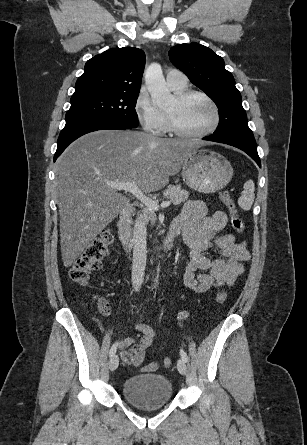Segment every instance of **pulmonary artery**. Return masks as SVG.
<instances>
[{"mask_svg": "<svg viewBox=\"0 0 307 445\" xmlns=\"http://www.w3.org/2000/svg\"><path fill=\"white\" fill-rule=\"evenodd\" d=\"M182 69H168L166 74L167 83L172 89H181L187 86V80L182 79Z\"/></svg>", "mask_w": 307, "mask_h": 445, "instance_id": "pulmonary-artery-1", "label": "pulmonary artery"}]
</instances>
